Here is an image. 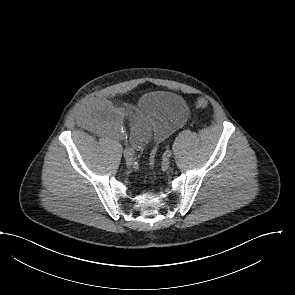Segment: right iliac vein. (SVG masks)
<instances>
[{
	"instance_id": "1",
	"label": "right iliac vein",
	"mask_w": 295,
	"mask_h": 295,
	"mask_svg": "<svg viewBox=\"0 0 295 295\" xmlns=\"http://www.w3.org/2000/svg\"><path fill=\"white\" fill-rule=\"evenodd\" d=\"M124 158L128 165L133 163L134 158L132 154H129L128 152H124Z\"/></svg>"
}]
</instances>
